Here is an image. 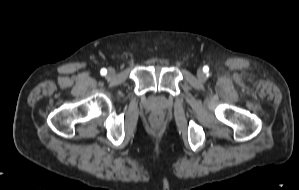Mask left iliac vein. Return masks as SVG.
<instances>
[{"label": "left iliac vein", "mask_w": 299, "mask_h": 190, "mask_svg": "<svg viewBox=\"0 0 299 190\" xmlns=\"http://www.w3.org/2000/svg\"><path fill=\"white\" fill-rule=\"evenodd\" d=\"M197 77L201 80V81H203L204 79H205V73H204V71L203 70H198L197 71Z\"/></svg>", "instance_id": "4c4485c4"}]
</instances>
